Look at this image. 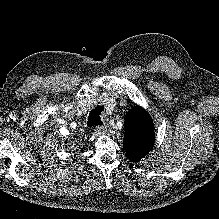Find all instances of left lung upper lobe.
Here are the masks:
<instances>
[{"instance_id": "left-lung-upper-lobe-1", "label": "left lung upper lobe", "mask_w": 219, "mask_h": 219, "mask_svg": "<svg viewBox=\"0 0 219 219\" xmlns=\"http://www.w3.org/2000/svg\"><path fill=\"white\" fill-rule=\"evenodd\" d=\"M123 147L132 162L145 157L154 145V126L150 116L141 108L130 111L125 119Z\"/></svg>"}]
</instances>
